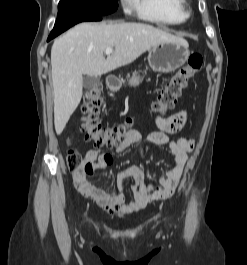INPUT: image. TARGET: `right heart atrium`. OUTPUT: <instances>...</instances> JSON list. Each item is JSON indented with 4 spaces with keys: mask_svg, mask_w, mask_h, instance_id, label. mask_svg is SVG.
<instances>
[{
    "mask_svg": "<svg viewBox=\"0 0 247 265\" xmlns=\"http://www.w3.org/2000/svg\"><path fill=\"white\" fill-rule=\"evenodd\" d=\"M124 11L129 12L134 6V0H121Z\"/></svg>",
    "mask_w": 247,
    "mask_h": 265,
    "instance_id": "right-heart-atrium-1",
    "label": "right heart atrium"
}]
</instances>
